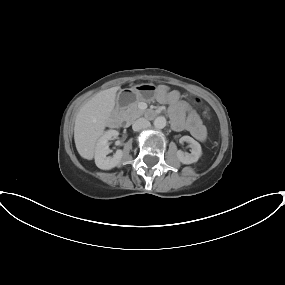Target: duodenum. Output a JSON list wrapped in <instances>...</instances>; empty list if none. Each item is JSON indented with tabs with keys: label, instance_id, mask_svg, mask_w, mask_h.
Listing matches in <instances>:
<instances>
[{
	"label": "duodenum",
	"instance_id": "obj_1",
	"mask_svg": "<svg viewBox=\"0 0 285 285\" xmlns=\"http://www.w3.org/2000/svg\"><path fill=\"white\" fill-rule=\"evenodd\" d=\"M159 115V111L158 110H155V109H149V110H146L144 112V116L146 118H156L157 116ZM116 121L118 124H120L121 126H127V122L124 121L122 118L120 117H117L116 118Z\"/></svg>",
	"mask_w": 285,
	"mask_h": 285
}]
</instances>
